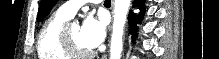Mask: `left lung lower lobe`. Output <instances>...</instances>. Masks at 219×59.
<instances>
[{
  "instance_id": "0a47b994",
  "label": "left lung lower lobe",
  "mask_w": 219,
  "mask_h": 59,
  "mask_svg": "<svg viewBox=\"0 0 219 59\" xmlns=\"http://www.w3.org/2000/svg\"><path fill=\"white\" fill-rule=\"evenodd\" d=\"M137 3H139V9L141 10L140 14L137 16V15L133 14L132 12H130L128 15L130 30L133 34V37H135V26L137 23H140L142 21V18H143L144 12H145L144 0H139V1L135 0V5Z\"/></svg>"
}]
</instances>
